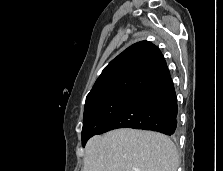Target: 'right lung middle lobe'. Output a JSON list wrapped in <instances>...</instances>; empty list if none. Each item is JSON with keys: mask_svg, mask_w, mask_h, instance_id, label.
<instances>
[{"mask_svg": "<svg viewBox=\"0 0 223 171\" xmlns=\"http://www.w3.org/2000/svg\"><path fill=\"white\" fill-rule=\"evenodd\" d=\"M137 94L117 93L107 95L85 104L82 144L99 133L101 128L124 109Z\"/></svg>", "mask_w": 223, "mask_h": 171, "instance_id": "right-lung-middle-lobe-1", "label": "right lung middle lobe"}]
</instances>
